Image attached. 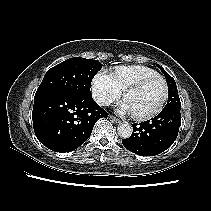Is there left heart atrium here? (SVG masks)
Here are the masks:
<instances>
[{
  "mask_svg": "<svg viewBox=\"0 0 211 211\" xmlns=\"http://www.w3.org/2000/svg\"><path fill=\"white\" fill-rule=\"evenodd\" d=\"M117 112L120 113V114H131V113H133L129 103L126 100H124L123 102H121L119 104V106L117 108Z\"/></svg>",
  "mask_w": 211,
  "mask_h": 211,
  "instance_id": "39dd6f15",
  "label": "left heart atrium"
}]
</instances>
